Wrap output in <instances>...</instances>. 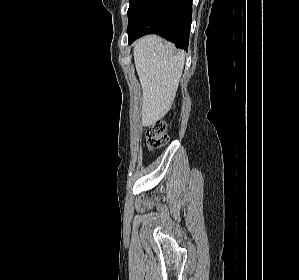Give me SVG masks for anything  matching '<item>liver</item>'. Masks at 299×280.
Wrapping results in <instances>:
<instances>
[{
  "mask_svg": "<svg viewBox=\"0 0 299 280\" xmlns=\"http://www.w3.org/2000/svg\"><path fill=\"white\" fill-rule=\"evenodd\" d=\"M134 62L142 87L141 124L151 126L162 119L175 99L184 69L185 53L157 35L134 44Z\"/></svg>",
  "mask_w": 299,
  "mask_h": 280,
  "instance_id": "obj_1",
  "label": "liver"
}]
</instances>
